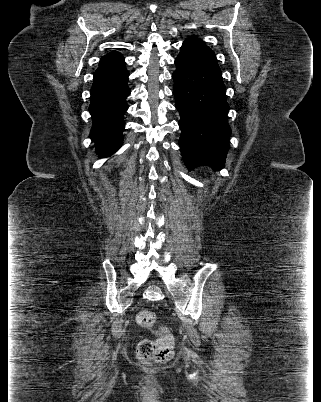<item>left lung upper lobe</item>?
<instances>
[{"label":"left lung upper lobe","mask_w":321,"mask_h":402,"mask_svg":"<svg viewBox=\"0 0 321 402\" xmlns=\"http://www.w3.org/2000/svg\"><path fill=\"white\" fill-rule=\"evenodd\" d=\"M189 38H197L196 36H190Z\"/></svg>","instance_id":"obj_1"}]
</instances>
